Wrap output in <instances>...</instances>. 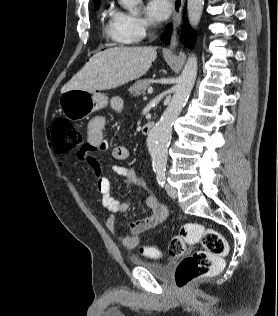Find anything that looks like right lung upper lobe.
Masks as SVG:
<instances>
[{
  "mask_svg": "<svg viewBox=\"0 0 278 316\" xmlns=\"http://www.w3.org/2000/svg\"><path fill=\"white\" fill-rule=\"evenodd\" d=\"M99 1H101V0H94V3L99 2Z\"/></svg>",
  "mask_w": 278,
  "mask_h": 316,
  "instance_id": "1",
  "label": "right lung upper lobe"
}]
</instances>
